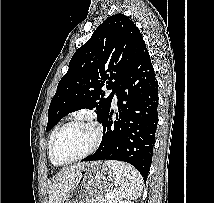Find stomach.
<instances>
[{"label": "stomach", "mask_w": 214, "mask_h": 203, "mask_svg": "<svg viewBox=\"0 0 214 203\" xmlns=\"http://www.w3.org/2000/svg\"><path fill=\"white\" fill-rule=\"evenodd\" d=\"M114 181L115 174L106 164L100 161L86 163L63 203H102L113 188Z\"/></svg>", "instance_id": "0dacf381"}]
</instances>
